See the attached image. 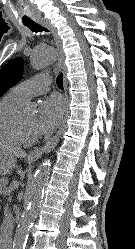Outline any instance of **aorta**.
Returning <instances> with one entry per match:
<instances>
[{"mask_svg": "<svg viewBox=\"0 0 135 249\" xmlns=\"http://www.w3.org/2000/svg\"><path fill=\"white\" fill-rule=\"evenodd\" d=\"M57 59V51L50 46L37 47L31 55V65L34 69L40 70L51 64ZM51 161L46 159L36 170L33 179L26 189V207L22 213L18 224L13 249H25L28 233L39 211L44 189L50 174Z\"/></svg>", "mask_w": 135, "mask_h": 249, "instance_id": "obj_1", "label": "aorta"}]
</instances>
